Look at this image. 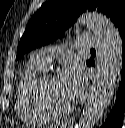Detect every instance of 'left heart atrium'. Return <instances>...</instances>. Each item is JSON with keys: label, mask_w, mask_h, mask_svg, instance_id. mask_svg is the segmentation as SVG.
Segmentation results:
<instances>
[{"label": "left heart atrium", "mask_w": 125, "mask_h": 128, "mask_svg": "<svg viewBox=\"0 0 125 128\" xmlns=\"http://www.w3.org/2000/svg\"><path fill=\"white\" fill-rule=\"evenodd\" d=\"M59 84L66 97L73 102L86 88V76L81 66L71 62L67 64L58 76Z\"/></svg>", "instance_id": "39dd6f15"}]
</instances>
